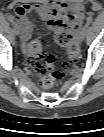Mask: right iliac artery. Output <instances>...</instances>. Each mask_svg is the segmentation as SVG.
I'll use <instances>...</instances> for the list:
<instances>
[{"mask_svg":"<svg viewBox=\"0 0 104 137\" xmlns=\"http://www.w3.org/2000/svg\"><path fill=\"white\" fill-rule=\"evenodd\" d=\"M8 20L10 21V22H12V23H14V17H13V15H8Z\"/></svg>","mask_w":104,"mask_h":137,"instance_id":"right-iliac-artery-1","label":"right iliac artery"}]
</instances>
